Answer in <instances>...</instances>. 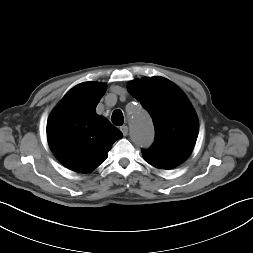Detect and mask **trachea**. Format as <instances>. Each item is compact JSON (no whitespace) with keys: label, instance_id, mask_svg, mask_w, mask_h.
Instances as JSON below:
<instances>
[{"label":"trachea","instance_id":"trachea-1","mask_svg":"<svg viewBox=\"0 0 253 253\" xmlns=\"http://www.w3.org/2000/svg\"><path fill=\"white\" fill-rule=\"evenodd\" d=\"M111 120L114 125L121 126L124 122L122 111L119 109L115 110L112 114Z\"/></svg>","mask_w":253,"mask_h":253}]
</instances>
